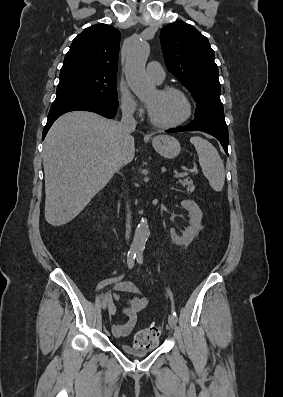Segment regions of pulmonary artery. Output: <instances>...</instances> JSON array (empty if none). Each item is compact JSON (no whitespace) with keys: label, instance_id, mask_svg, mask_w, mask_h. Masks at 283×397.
Here are the masks:
<instances>
[{"label":"pulmonary artery","instance_id":"obj_1","mask_svg":"<svg viewBox=\"0 0 283 397\" xmlns=\"http://www.w3.org/2000/svg\"><path fill=\"white\" fill-rule=\"evenodd\" d=\"M148 76L156 83L160 84L165 78L164 70L161 64L157 61H151L147 65Z\"/></svg>","mask_w":283,"mask_h":397}]
</instances>
